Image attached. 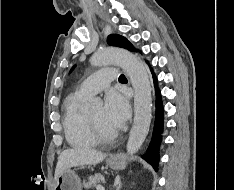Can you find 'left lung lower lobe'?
I'll return each mask as SVG.
<instances>
[{"instance_id":"1","label":"left lung lower lobe","mask_w":234,"mask_h":190,"mask_svg":"<svg viewBox=\"0 0 234 190\" xmlns=\"http://www.w3.org/2000/svg\"><path fill=\"white\" fill-rule=\"evenodd\" d=\"M153 79H154V86H155V91H156L155 125H154L152 140L143 158L149 164H151L153 168L157 171L158 162H159V145L161 143V133L163 130V105L161 102L160 91L157 87V80L154 74H153Z\"/></svg>"}]
</instances>
